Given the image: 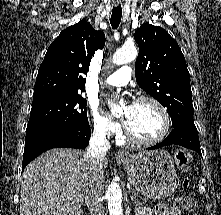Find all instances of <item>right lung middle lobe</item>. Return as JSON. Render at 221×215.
<instances>
[{
	"label": "right lung middle lobe",
	"instance_id": "right-lung-middle-lobe-1",
	"mask_svg": "<svg viewBox=\"0 0 221 215\" xmlns=\"http://www.w3.org/2000/svg\"><path fill=\"white\" fill-rule=\"evenodd\" d=\"M86 105L79 93L52 95L33 101L26 133L47 128L76 131L88 127Z\"/></svg>",
	"mask_w": 221,
	"mask_h": 215
}]
</instances>
